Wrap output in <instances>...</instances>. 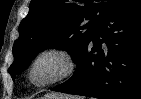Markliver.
Here are the masks:
<instances>
[{
  "label": "liver",
  "mask_w": 141,
  "mask_h": 99,
  "mask_svg": "<svg viewBox=\"0 0 141 99\" xmlns=\"http://www.w3.org/2000/svg\"><path fill=\"white\" fill-rule=\"evenodd\" d=\"M46 99H68L67 96L58 93H52L50 95L45 96Z\"/></svg>",
  "instance_id": "1"
}]
</instances>
